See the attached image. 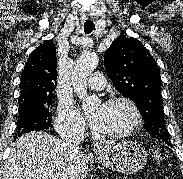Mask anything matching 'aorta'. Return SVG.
I'll use <instances>...</instances> for the list:
<instances>
[{
    "label": "aorta",
    "mask_w": 183,
    "mask_h": 179,
    "mask_svg": "<svg viewBox=\"0 0 183 179\" xmlns=\"http://www.w3.org/2000/svg\"><path fill=\"white\" fill-rule=\"evenodd\" d=\"M99 59L96 55H85L79 57L72 71V87L76 95L82 101L83 110L92 109L100 100L96 96H89L87 93V80L90 74L96 69Z\"/></svg>",
    "instance_id": "762f6f07"
}]
</instances>
